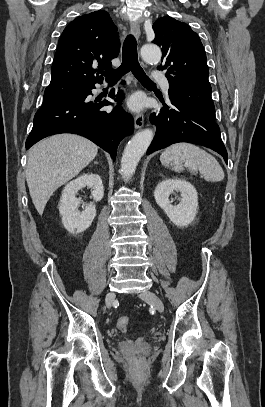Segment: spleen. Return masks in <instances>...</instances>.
Returning a JSON list of instances; mask_svg holds the SVG:
<instances>
[{
    "mask_svg": "<svg viewBox=\"0 0 265 407\" xmlns=\"http://www.w3.org/2000/svg\"><path fill=\"white\" fill-rule=\"evenodd\" d=\"M160 161L165 167L182 172L186 166L190 172L199 171L205 180L218 182L224 179L221 165L211 154L190 143H176L166 148Z\"/></svg>",
    "mask_w": 265,
    "mask_h": 407,
    "instance_id": "1",
    "label": "spleen"
}]
</instances>
